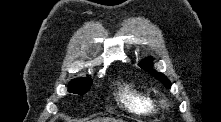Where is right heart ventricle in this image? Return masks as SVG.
<instances>
[{"instance_id": "obj_1", "label": "right heart ventricle", "mask_w": 221, "mask_h": 122, "mask_svg": "<svg viewBox=\"0 0 221 122\" xmlns=\"http://www.w3.org/2000/svg\"><path fill=\"white\" fill-rule=\"evenodd\" d=\"M116 97L121 106L130 113L153 115L158 112L157 103L150 90L135 83L120 84Z\"/></svg>"}]
</instances>
